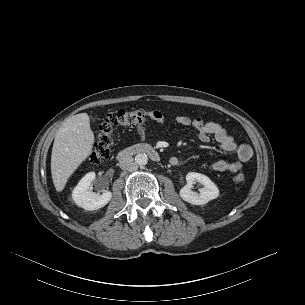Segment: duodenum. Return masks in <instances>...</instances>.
Segmentation results:
<instances>
[{
    "label": "duodenum",
    "mask_w": 305,
    "mask_h": 305,
    "mask_svg": "<svg viewBox=\"0 0 305 305\" xmlns=\"http://www.w3.org/2000/svg\"><path fill=\"white\" fill-rule=\"evenodd\" d=\"M136 154H146L153 160L160 161L159 152L154 147L148 144H136L120 149L117 152L116 157L117 159H123L127 156H132Z\"/></svg>",
    "instance_id": "1"
}]
</instances>
